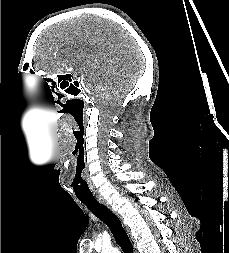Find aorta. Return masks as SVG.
<instances>
[{"instance_id": "762f6f07", "label": "aorta", "mask_w": 229, "mask_h": 253, "mask_svg": "<svg viewBox=\"0 0 229 253\" xmlns=\"http://www.w3.org/2000/svg\"><path fill=\"white\" fill-rule=\"evenodd\" d=\"M102 253H120V252H119V250L117 248L108 247V248H104L102 250Z\"/></svg>"}]
</instances>
